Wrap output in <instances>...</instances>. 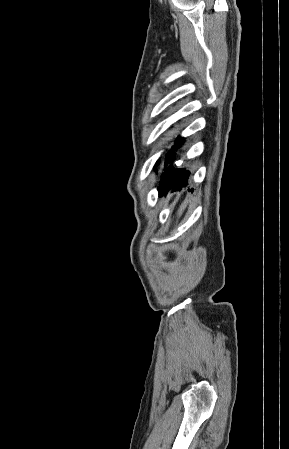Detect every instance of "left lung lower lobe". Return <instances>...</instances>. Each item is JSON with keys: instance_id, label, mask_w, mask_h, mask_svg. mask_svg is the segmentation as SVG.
I'll use <instances>...</instances> for the list:
<instances>
[{"instance_id": "0a47b994", "label": "left lung lower lobe", "mask_w": 289, "mask_h": 449, "mask_svg": "<svg viewBox=\"0 0 289 449\" xmlns=\"http://www.w3.org/2000/svg\"><path fill=\"white\" fill-rule=\"evenodd\" d=\"M183 144L182 138H177L173 149L180 147ZM175 160L174 151L166 156L165 166ZM190 173L185 169L174 168L172 165L164 169V173L161 175L160 185L158 186L159 195L166 194L170 189L181 190V187L188 184V177Z\"/></svg>"}]
</instances>
